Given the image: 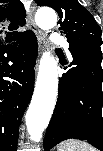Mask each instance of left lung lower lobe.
<instances>
[{"label":"left lung lower lobe","instance_id":"1","mask_svg":"<svg viewBox=\"0 0 103 151\" xmlns=\"http://www.w3.org/2000/svg\"><path fill=\"white\" fill-rule=\"evenodd\" d=\"M69 50L73 61L59 80L58 99L44 138V150L76 138L103 151L101 48L74 46ZM64 64H68L67 61Z\"/></svg>","mask_w":103,"mask_h":151}]
</instances>
